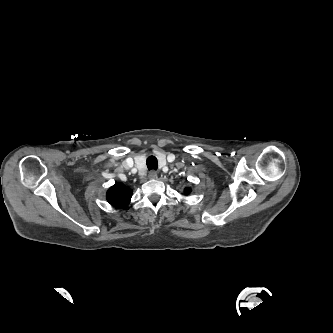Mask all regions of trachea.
Here are the masks:
<instances>
[{
	"mask_svg": "<svg viewBox=\"0 0 333 333\" xmlns=\"http://www.w3.org/2000/svg\"><path fill=\"white\" fill-rule=\"evenodd\" d=\"M146 164L149 170H157L158 161L155 156H149L146 160Z\"/></svg>",
	"mask_w": 333,
	"mask_h": 333,
	"instance_id": "1",
	"label": "trachea"
}]
</instances>
